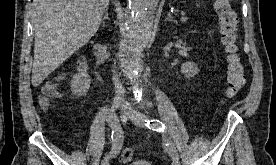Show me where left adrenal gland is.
Returning <instances> with one entry per match:
<instances>
[{"instance_id": "a2214340", "label": "left adrenal gland", "mask_w": 276, "mask_h": 165, "mask_svg": "<svg viewBox=\"0 0 276 165\" xmlns=\"http://www.w3.org/2000/svg\"><path fill=\"white\" fill-rule=\"evenodd\" d=\"M165 21H172V22H176L173 18H172V15H171V13H168L167 14V17L165 18Z\"/></svg>"}]
</instances>
